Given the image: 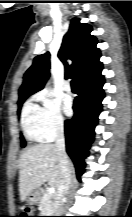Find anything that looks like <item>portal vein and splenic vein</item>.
<instances>
[{
    "label": "portal vein and splenic vein",
    "mask_w": 132,
    "mask_h": 217,
    "mask_svg": "<svg viewBox=\"0 0 132 217\" xmlns=\"http://www.w3.org/2000/svg\"><path fill=\"white\" fill-rule=\"evenodd\" d=\"M48 192H49L50 194H54V193H55V188H54V187H50V188L48 189Z\"/></svg>",
    "instance_id": "obj_1"
}]
</instances>
